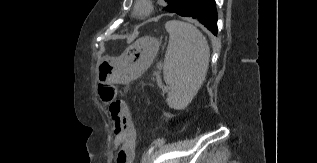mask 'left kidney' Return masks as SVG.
I'll return each mask as SVG.
<instances>
[{
	"mask_svg": "<svg viewBox=\"0 0 317 163\" xmlns=\"http://www.w3.org/2000/svg\"><path fill=\"white\" fill-rule=\"evenodd\" d=\"M165 116H166L167 118H171V117H172V115L169 114V113H165Z\"/></svg>",
	"mask_w": 317,
	"mask_h": 163,
	"instance_id": "1",
	"label": "left kidney"
}]
</instances>
